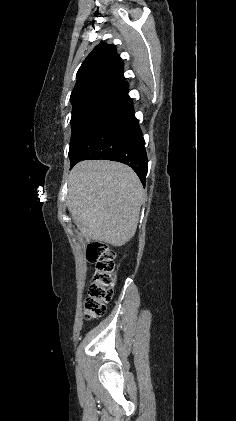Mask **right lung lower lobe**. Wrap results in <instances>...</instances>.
<instances>
[{"label": "right lung lower lobe", "instance_id": "obj_1", "mask_svg": "<svg viewBox=\"0 0 236 421\" xmlns=\"http://www.w3.org/2000/svg\"><path fill=\"white\" fill-rule=\"evenodd\" d=\"M128 90V83L123 85ZM144 138L128 96L92 133L72 157L71 168L81 160L107 159L122 162L137 173L145 185L148 160Z\"/></svg>", "mask_w": 236, "mask_h": 421}]
</instances>
